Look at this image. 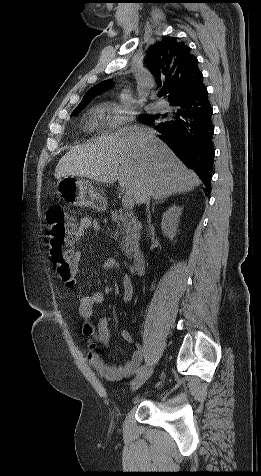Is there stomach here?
<instances>
[{
  "label": "stomach",
  "mask_w": 261,
  "mask_h": 476,
  "mask_svg": "<svg viewBox=\"0 0 261 476\" xmlns=\"http://www.w3.org/2000/svg\"><path fill=\"white\" fill-rule=\"evenodd\" d=\"M58 187L61 196L74 206L106 209L107 199L103 191L95 188L89 181L76 176H68L59 180Z\"/></svg>",
  "instance_id": "0dacf381"
}]
</instances>
